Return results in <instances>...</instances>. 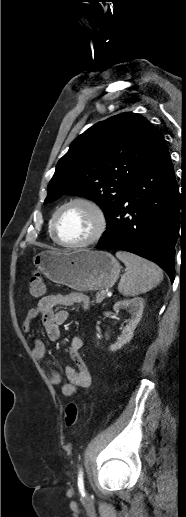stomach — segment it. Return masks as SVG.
Returning <instances> with one entry per match:
<instances>
[{
	"mask_svg": "<svg viewBox=\"0 0 186 517\" xmlns=\"http://www.w3.org/2000/svg\"><path fill=\"white\" fill-rule=\"evenodd\" d=\"M48 279L80 292L112 287L120 274V264L105 251L78 249L71 252L44 251L33 259Z\"/></svg>",
	"mask_w": 186,
	"mask_h": 517,
	"instance_id": "0dacf381",
	"label": "stomach"
}]
</instances>
